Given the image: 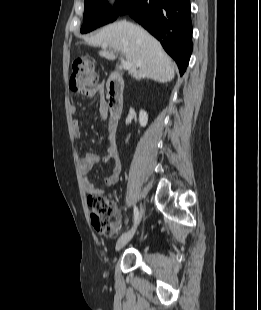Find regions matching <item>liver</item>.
Instances as JSON below:
<instances>
[{
    "label": "liver",
    "instance_id": "1",
    "mask_svg": "<svg viewBox=\"0 0 261 310\" xmlns=\"http://www.w3.org/2000/svg\"><path fill=\"white\" fill-rule=\"evenodd\" d=\"M84 39L93 46L108 44L109 50L99 51V55L108 60H115L116 52H121L130 63L128 73L136 79L148 77L166 83L174 78L173 63L160 43L134 23L115 22Z\"/></svg>",
    "mask_w": 261,
    "mask_h": 310
}]
</instances>
